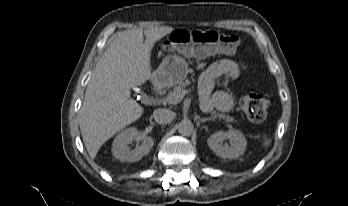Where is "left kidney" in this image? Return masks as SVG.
<instances>
[{
	"instance_id": "5707ae66",
	"label": "left kidney",
	"mask_w": 348,
	"mask_h": 206,
	"mask_svg": "<svg viewBox=\"0 0 348 206\" xmlns=\"http://www.w3.org/2000/svg\"><path fill=\"white\" fill-rule=\"evenodd\" d=\"M207 143L216 155L229 159L243 155L247 146V140L239 130L215 132L208 138Z\"/></svg>"
}]
</instances>
